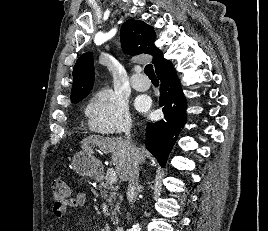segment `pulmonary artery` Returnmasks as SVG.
<instances>
[{"label": "pulmonary artery", "instance_id": "1", "mask_svg": "<svg viewBox=\"0 0 268 231\" xmlns=\"http://www.w3.org/2000/svg\"><path fill=\"white\" fill-rule=\"evenodd\" d=\"M132 87L139 91L144 92L149 89L151 83L148 78H146L143 74H136L131 80Z\"/></svg>", "mask_w": 268, "mask_h": 231}]
</instances>
